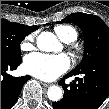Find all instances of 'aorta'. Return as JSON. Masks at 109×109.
<instances>
[{"label": "aorta", "instance_id": "obj_1", "mask_svg": "<svg viewBox=\"0 0 109 109\" xmlns=\"http://www.w3.org/2000/svg\"><path fill=\"white\" fill-rule=\"evenodd\" d=\"M36 43H37V47L45 52L57 51L60 46L58 39L51 32H42L38 36ZM47 95L51 101L56 102L62 98L63 92L59 86H51L48 89Z\"/></svg>", "mask_w": 109, "mask_h": 109}]
</instances>
